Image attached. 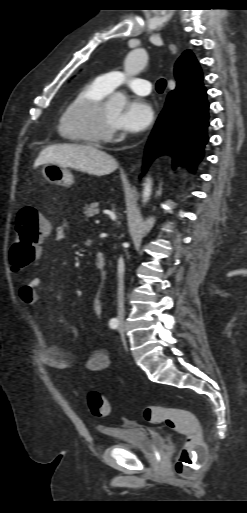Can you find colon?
I'll return each instance as SVG.
<instances>
[{
	"label": "colon",
	"instance_id": "obj_1",
	"mask_svg": "<svg viewBox=\"0 0 247 513\" xmlns=\"http://www.w3.org/2000/svg\"><path fill=\"white\" fill-rule=\"evenodd\" d=\"M50 223L35 205L22 208L17 216L15 238L10 248V263L15 271L27 268L39 253V245L50 233ZM87 404L91 413L100 418L108 417L111 407L99 392H90ZM143 418L153 424L166 426L184 434L174 471L177 476L194 478L201 469L207 450L197 417L190 411L148 405L142 410Z\"/></svg>",
	"mask_w": 247,
	"mask_h": 513
}]
</instances>
